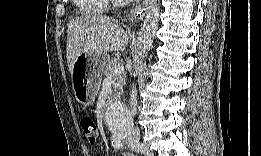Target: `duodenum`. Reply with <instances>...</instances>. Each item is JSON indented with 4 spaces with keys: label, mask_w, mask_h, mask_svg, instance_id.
<instances>
[{
    "label": "duodenum",
    "mask_w": 261,
    "mask_h": 156,
    "mask_svg": "<svg viewBox=\"0 0 261 156\" xmlns=\"http://www.w3.org/2000/svg\"><path fill=\"white\" fill-rule=\"evenodd\" d=\"M113 99H117V97H113Z\"/></svg>",
    "instance_id": "1"
}]
</instances>
